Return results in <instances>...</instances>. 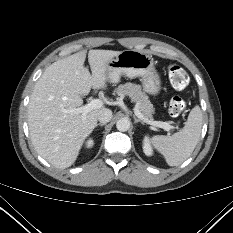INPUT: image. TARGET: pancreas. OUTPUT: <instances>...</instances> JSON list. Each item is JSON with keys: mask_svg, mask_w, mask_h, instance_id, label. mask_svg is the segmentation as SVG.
Listing matches in <instances>:
<instances>
[{"mask_svg": "<svg viewBox=\"0 0 233 233\" xmlns=\"http://www.w3.org/2000/svg\"><path fill=\"white\" fill-rule=\"evenodd\" d=\"M114 94L120 97L129 96L131 100L136 103V106L139 108L143 116L149 120H153V105L148 96L142 92L139 85L133 83L121 84L115 89Z\"/></svg>", "mask_w": 233, "mask_h": 233, "instance_id": "cf45deb5", "label": "pancreas"}]
</instances>
